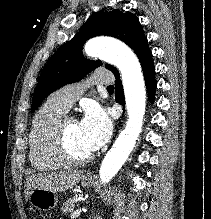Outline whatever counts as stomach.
Returning <instances> with one entry per match:
<instances>
[{
	"instance_id": "stomach-1",
	"label": "stomach",
	"mask_w": 211,
	"mask_h": 219,
	"mask_svg": "<svg viewBox=\"0 0 211 219\" xmlns=\"http://www.w3.org/2000/svg\"><path fill=\"white\" fill-rule=\"evenodd\" d=\"M82 186L88 187L92 183V179L88 176H82ZM28 200L32 206L39 210H51L58 204V197L52 191L44 189H34L29 192Z\"/></svg>"
}]
</instances>
